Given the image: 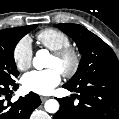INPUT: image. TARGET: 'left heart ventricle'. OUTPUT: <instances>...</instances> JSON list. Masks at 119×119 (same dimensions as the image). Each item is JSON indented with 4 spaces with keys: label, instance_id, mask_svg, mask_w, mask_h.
I'll use <instances>...</instances> for the list:
<instances>
[{
    "label": "left heart ventricle",
    "instance_id": "1",
    "mask_svg": "<svg viewBox=\"0 0 119 119\" xmlns=\"http://www.w3.org/2000/svg\"><path fill=\"white\" fill-rule=\"evenodd\" d=\"M69 65L67 60H59L54 56H51L48 60L47 67L49 68H56L60 72Z\"/></svg>",
    "mask_w": 119,
    "mask_h": 119
}]
</instances>
